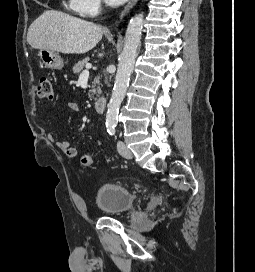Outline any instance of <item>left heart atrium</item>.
Here are the masks:
<instances>
[{
  "instance_id": "39dd6f15",
  "label": "left heart atrium",
  "mask_w": 255,
  "mask_h": 272,
  "mask_svg": "<svg viewBox=\"0 0 255 272\" xmlns=\"http://www.w3.org/2000/svg\"><path fill=\"white\" fill-rule=\"evenodd\" d=\"M107 4L117 6L123 3L125 0H105Z\"/></svg>"
}]
</instances>
